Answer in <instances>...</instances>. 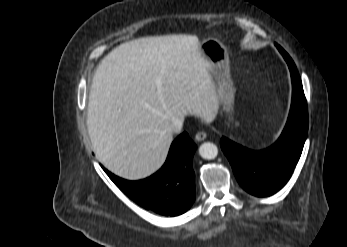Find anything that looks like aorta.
I'll return each instance as SVG.
<instances>
[{"label": "aorta", "instance_id": "obj_1", "mask_svg": "<svg viewBox=\"0 0 347 247\" xmlns=\"http://www.w3.org/2000/svg\"><path fill=\"white\" fill-rule=\"evenodd\" d=\"M199 154L203 159L212 160L218 155V148L212 142H205L199 148Z\"/></svg>", "mask_w": 347, "mask_h": 247}]
</instances>
